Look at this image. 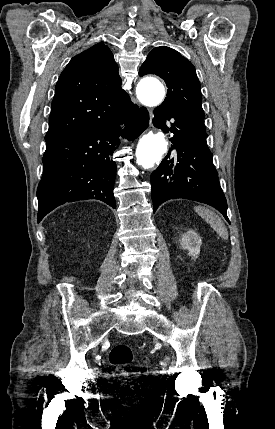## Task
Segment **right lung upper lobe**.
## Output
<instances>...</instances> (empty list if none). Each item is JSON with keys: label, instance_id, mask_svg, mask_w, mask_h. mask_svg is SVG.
Listing matches in <instances>:
<instances>
[{"label": "right lung upper lobe", "instance_id": "right-lung-upper-lobe-1", "mask_svg": "<svg viewBox=\"0 0 275 429\" xmlns=\"http://www.w3.org/2000/svg\"><path fill=\"white\" fill-rule=\"evenodd\" d=\"M112 52L102 43L71 59L56 84L45 141L117 119L131 102Z\"/></svg>", "mask_w": 275, "mask_h": 429}]
</instances>
